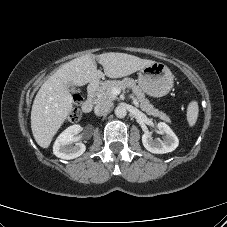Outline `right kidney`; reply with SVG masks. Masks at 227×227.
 Wrapping results in <instances>:
<instances>
[{
    "label": "right kidney",
    "instance_id": "obj_1",
    "mask_svg": "<svg viewBox=\"0 0 227 227\" xmlns=\"http://www.w3.org/2000/svg\"><path fill=\"white\" fill-rule=\"evenodd\" d=\"M82 130L80 125H72L65 129L56 139L53 145V153L61 159H74L81 156L86 146L82 142L72 143L77 140V135Z\"/></svg>",
    "mask_w": 227,
    "mask_h": 227
}]
</instances>
